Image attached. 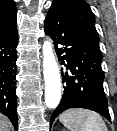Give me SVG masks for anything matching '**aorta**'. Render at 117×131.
Instances as JSON below:
<instances>
[{"mask_svg": "<svg viewBox=\"0 0 117 131\" xmlns=\"http://www.w3.org/2000/svg\"><path fill=\"white\" fill-rule=\"evenodd\" d=\"M43 75L45 81V104L55 109L61 100L60 71L55 60L52 42L49 38L43 44Z\"/></svg>", "mask_w": 117, "mask_h": 131, "instance_id": "obj_1", "label": "aorta"}]
</instances>
